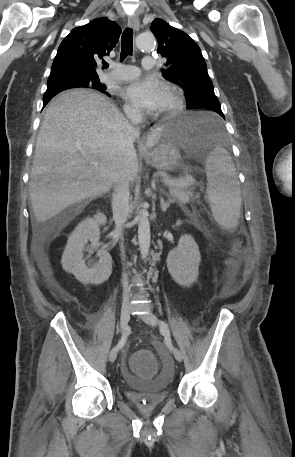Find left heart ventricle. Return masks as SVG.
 Masks as SVG:
<instances>
[{
  "label": "left heart ventricle",
  "instance_id": "left-heart-ventricle-1",
  "mask_svg": "<svg viewBox=\"0 0 295 457\" xmlns=\"http://www.w3.org/2000/svg\"><path fill=\"white\" fill-rule=\"evenodd\" d=\"M171 102H172V97H171L170 93L164 89V93H163V97H162L160 106L158 107V109L156 111L160 112V111L166 109L171 104Z\"/></svg>",
  "mask_w": 295,
  "mask_h": 457
}]
</instances>
